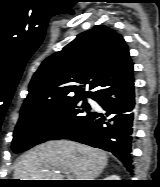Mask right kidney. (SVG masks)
Instances as JSON below:
<instances>
[{
    "mask_svg": "<svg viewBox=\"0 0 160 187\" xmlns=\"http://www.w3.org/2000/svg\"><path fill=\"white\" fill-rule=\"evenodd\" d=\"M104 180H120V178L117 175H112V176L105 178Z\"/></svg>",
    "mask_w": 160,
    "mask_h": 187,
    "instance_id": "right-kidney-1",
    "label": "right kidney"
}]
</instances>
